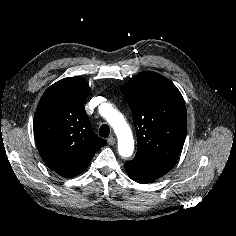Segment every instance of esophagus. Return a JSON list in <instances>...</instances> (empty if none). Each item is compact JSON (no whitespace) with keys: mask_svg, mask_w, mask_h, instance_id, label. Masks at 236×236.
I'll list each match as a JSON object with an SVG mask.
<instances>
[{"mask_svg":"<svg viewBox=\"0 0 236 236\" xmlns=\"http://www.w3.org/2000/svg\"><path fill=\"white\" fill-rule=\"evenodd\" d=\"M107 142L110 146H113L116 143V139L114 137H110Z\"/></svg>","mask_w":236,"mask_h":236,"instance_id":"34e87169","label":"esophagus"}]
</instances>
